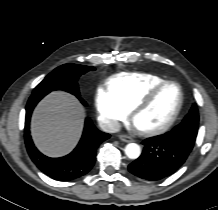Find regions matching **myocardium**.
<instances>
[{
  "label": "myocardium",
  "mask_w": 218,
  "mask_h": 210,
  "mask_svg": "<svg viewBox=\"0 0 218 210\" xmlns=\"http://www.w3.org/2000/svg\"><path fill=\"white\" fill-rule=\"evenodd\" d=\"M169 84H174L178 87L179 89V102L177 105V108L172 115V117L168 120L167 123H165L163 126L155 129H150V130H139L138 132L143 135V136H157L161 135L168 130H170L174 124L177 122L182 109L184 105V90L181 84L175 80H164L160 82L159 84L155 85L153 88H151L132 108L131 110V119L134 122L135 117L137 116L138 113H140L142 110L147 108L148 106L151 105V103L154 101L158 93L167 85Z\"/></svg>",
  "instance_id": "myocardium-1"
}]
</instances>
